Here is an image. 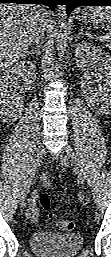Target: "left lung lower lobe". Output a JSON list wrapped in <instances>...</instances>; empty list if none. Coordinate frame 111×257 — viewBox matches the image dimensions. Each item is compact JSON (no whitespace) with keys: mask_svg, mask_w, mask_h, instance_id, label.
Wrapping results in <instances>:
<instances>
[{"mask_svg":"<svg viewBox=\"0 0 111 257\" xmlns=\"http://www.w3.org/2000/svg\"><path fill=\"white\" fill-rule=\"evenodd\" d=\"M68 14L78 6H111V0H66Z\"/></svg>","mask_w":111,"mask_h":257,"instance_id":"1","label":"left lung lower lobe"}]
</instances>
